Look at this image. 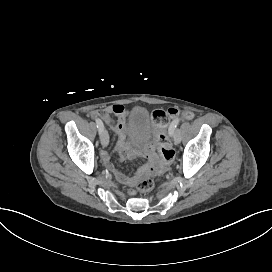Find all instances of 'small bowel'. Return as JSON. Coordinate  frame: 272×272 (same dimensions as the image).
I'll use <instances>...</instances> for the list:
<instances>
[{"label": "small bowel", "instance_id": "obj_1", "mask_svg": "<svg viewBox=\"0 0 272 272\" xmlns=\"http://www.w3.org/2000/svg\"><path fill=\"white\" fill-rule=\"evenodd\" d=\"M102 115L104 122L110 126L113 132L114 153L118 155V158L121 162L138 157L142 158L144 162L137 167V171L141 168L146 169L149 164L155 161L157 158V152L150 144H145L144 147L136 150L130 149L129 138L125 132L127 114L124 106L120 104L109 106L104 110ZM113 115H115L117 118L114 119ZM102 160L107 171L111 172L115 179L118 181L119 178H117L116 173L119 171V169H117L116 166L112 163L111 154L108 152H103Z\"/></svg>", "mask_w": 272, "mask_h": 272}]
</instances>
